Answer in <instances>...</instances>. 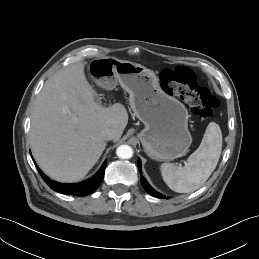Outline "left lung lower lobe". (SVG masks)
I'll use <instances>...</instances> for the list:
<instances>
[{"label":"left lung lower lobe","instance_id":"1","mask_svg":"<svg viewBox=\"0 0 259 259\" xmlns=\"http://www.w3.org/2000/svg\"><path fill=\"white\" fill-rule=\"evenodd\" d=\"M138 167H139V171H140V174H142V168H141V161L140 159H138ZM141 181H142V184H143V187L145 188V190L152 196L154 197H157V198H160V199H165V196L162 195L161 193L157 192L156 190H154L150 185L149 183H147L146 179H144L143 176H141Z\"/></svg>","mask_w":259,"mask_h":259}]
</instances>
